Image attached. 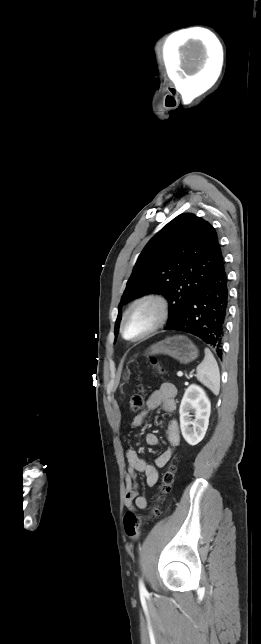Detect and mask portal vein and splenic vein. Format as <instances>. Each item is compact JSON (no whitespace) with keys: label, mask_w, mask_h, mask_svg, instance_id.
<instances>
[{"label":"portal vein and splenic vein","mask_w":261,"mask_h":644,"mask_svg":"<svg viewBox=\"0 0 261 644\" xmlns=\"http://www.w3.org/2000/svg\"><path fill=\"white\" fill-rule=\"evenodd\" d=\"M177 376H178V377H182V376H183V372H182V371H178V372H177Z\"/></svg>","instance_id":"obj_1"}]
</instances>
